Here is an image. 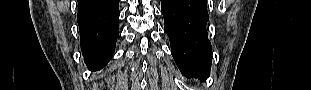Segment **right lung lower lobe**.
<instances>
[{
	"instance_id": "right-lung-lower-lobe-1",
	"label": "right lung lower lobe",
	"mask_w": 311,
	"mask_h": 90,
	"mask_svg": "<svg viewBox=\"0 0 311 90\" xmlns=\"http://www.w3.org/2000/svg\"><path fill=\"white\" fill-rule=\"evenodd\" d=\"M119 0H78L77 21L84 61L91 71L112 58L119 35Z\"/></svg>"
}]
</instances>
